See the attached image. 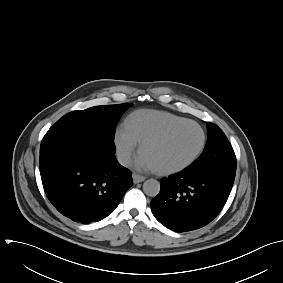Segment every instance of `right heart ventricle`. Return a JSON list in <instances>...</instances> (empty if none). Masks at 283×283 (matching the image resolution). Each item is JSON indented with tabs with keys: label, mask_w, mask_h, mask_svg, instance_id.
Returning <instances> with one entry per match:
<instances>
[{
	"label": "right heart ventricle",
	"mask_w": 283,
	"mask_h": 283,
	"mask_svg": "<svg viewBox=\"0 0 283 283\" xmlns=\"http://www.w3.org/2000/svg\"><path fill=\"white\" fill-rule=\"evenodd\" d=\"M184 118L169 112L141 109L132 112L124 120V127L128 133L139 143L166 127L180 122Z\"/></svg>",
	"instance_id": "e07e8e85"
}]
</instances>
